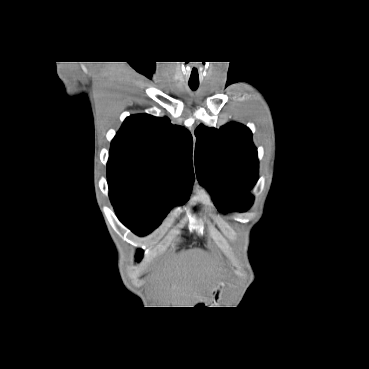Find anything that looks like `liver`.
<instances>
[{
    "mask_svg": "<svg viewBox=\"0 0 369 369\" xmlns=\"http://www.w3.org/2000/svg\"><path fill=\"white\" fill-rule=\"evenodd\" d=\"M213 261L201 250L187 251L173 260L157 275L158 299L163 305L177 299L206 281L212 273Z\"/></svg>",
    "mask_w": 369,
    "mask_h": 369,
    "instance_id": "obj_1",
    "label": "liver"
}]
</instances>
